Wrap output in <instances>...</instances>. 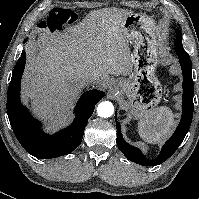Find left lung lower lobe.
<instances>
[{"instance_id": "0a47b994", "label": "left lung lower lobe", "mask_w": 199, "mask_h": 199, "mask_svg": "<svg viewBox=\"0 0 199 199\" xmlns=\"http://www.w3.org/2000/svg\"><path fill=\"white\" fill-rule=\"evenodd\" d=\"M184 51H179V61L182 68L183 73V96H182V105L183 111L181 116V121L172 135V137L165 143L163 146L159 156L154 160H148L142 154V152L128 144L122 137L121 134V127L119 122L116 120V127H117V145L119 150L129 159L137 164L144 165V166H156L164 161H166L179 147V145L184 140L193 117L194 111V104H193V96H194V83L192 79V64L191 60L188 59L186 54H183ZM117 114V111L115 112Z\"/></svg>"}]
</instances>
